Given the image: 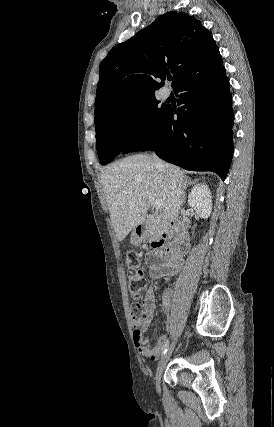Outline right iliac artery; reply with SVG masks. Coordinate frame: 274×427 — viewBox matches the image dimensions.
<instances>
[{
	"instance_id": "1",
	"label": "right iliac artery",
	"mask_w": 274,
	"mask_h": 427,
	"mask_svg": "<svg viewBox=\"0 0 274 427\" xmlns=\"http://www.w3.org/2000/svg\"><path fill=\"white\" fill-rule=\"evenodd\" d=\"M168 347H169V340H167L166 343H165V345H164V348H163V351H162V357L166 354V352L168 350Z\"/></svg>"
}]
</instances>
